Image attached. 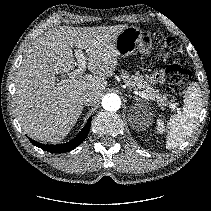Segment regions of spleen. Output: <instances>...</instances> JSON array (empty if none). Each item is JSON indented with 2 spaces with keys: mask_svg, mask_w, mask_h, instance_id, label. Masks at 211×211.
I'll return each mask as SVG.
<instances>
[{
  "mask_svg": "<svg viewBox=\"0 0 211 211\" xmlns=\"http://www.w3.org/2000/svg\"><path fill=\"white\" fill-rule=\"evenodd\" d=\"M202 104L203 95L199 84L193 82L185 93L182 112L174 114L167 124V149L180 146L192 135L199 120Z\"/></svg>",
  "mask_w": 211,
  "mask_h": 211,
  "instance_id": "obj_1",
  "label": "spleen"
}]
</instances>
